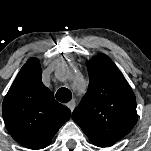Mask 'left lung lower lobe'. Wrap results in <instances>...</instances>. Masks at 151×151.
Listing matches in <instances>:
<instances>
[{"label":"left lung lower lobe","instance_id":"0a47b994","mask_svg":"<svg viewBox=\"0 0 151 151\" xmlns=\"http://www.w3.org/2000/svg\"><path fill=\"white\" fill-rule=\"evenodd\" d=\"M114 143L115 142L102 141V142H95L93 144L96 145V146H99V147H109V146H112Z\"/></svg>","mask_w":151,"mask_h":151}]
</instances>
